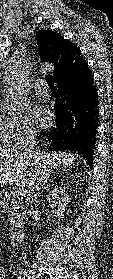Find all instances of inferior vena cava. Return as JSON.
Instances as JSON below:
<instances>
[{"mask_svg": "<svg viewBox=\"0 0 113 279\" xmlns=\"http://www.w3.org/2000/svg\"><path fill=\"white\" fill-rule=\"evenodd\" d=\"M36 146V131L33 127H26L21 138L16 144V148L20 150L24 155H33L35 152L33 148ZM38 183V177L36 173H30L27 182V197L26 206L29 209L28 213L31 214L33 209V194L35 185Z\"/></svg>", "mask_w": 113, "mask_h": 279, "instance_id": "obj_1", "label": "inferior vena cava"}]
</instances>
